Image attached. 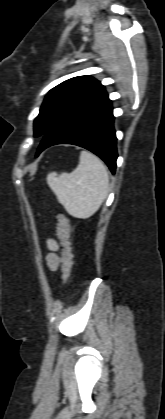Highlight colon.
I'll list each match as a JSON object with an SVG mask.
<instances>
[{
	"mask_svg": "<svg viewBox=\"0 0 165 419\" xmlns=\"http://www.w3.org/2000/svg\"><path fill=\"white\" fill-rule=\"evenodd\" d=\"M57 236L60 240L61 254L63 262L62 283L65 286L72 275L73 271V255L71 250V223L64 214L57 215Z\"/></svg>",
	"mask_w": 165,
	"mask_h": 419,
	"instance_id": "colon-1",
	"label": "colon"
}]
</instances>
